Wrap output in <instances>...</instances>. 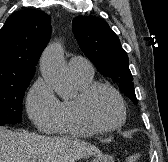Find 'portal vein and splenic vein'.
Returning <instances> with one entry per match:
<instances>
[{
  "mask_svg": "<svg viewBox=\"0 0 168 162\" xmlns=\"http://www.w3.org/2000/svg\"><path fill=\"white\" fill-rule=\"evenodd\" d=\"M29 162H37L35 159H33V160H30Z\"/></svg>",
  "mask_w": 168,
  "mask_h": 162,
  "instance_id": "18ae733b",
  "label": "portal vein and splenic vein"
}]
</instances>
